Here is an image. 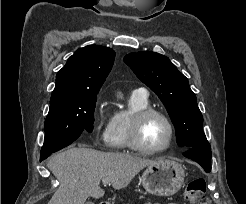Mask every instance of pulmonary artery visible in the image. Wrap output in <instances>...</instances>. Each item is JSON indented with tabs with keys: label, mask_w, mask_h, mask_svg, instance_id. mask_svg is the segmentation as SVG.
Wrapping results in <instances>:
<instances>
[{
	"label": "pulmonary artery",
	"mask_w": 246,
	"mask_h": 204,
	"mask_svg": "<svg viewBox=\"0 0 246 204\" xmlns=\"http://www.w3.org/2000/svg\"><path fill=\"white\" fill-rule=\"evenodd\" d=\"M133 94L140 95V96H147V91L145 88H138L133 91Z\"/></svg>",
	"instance_id": "1"
}]
</instances>
